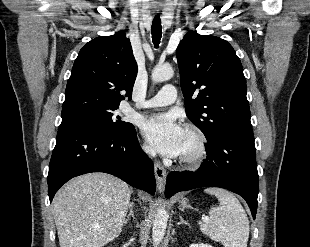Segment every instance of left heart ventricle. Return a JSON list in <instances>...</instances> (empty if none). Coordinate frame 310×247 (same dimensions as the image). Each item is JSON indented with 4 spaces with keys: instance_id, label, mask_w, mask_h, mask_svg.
I'll return each mask as SVG.
<instances>
[{
    "instance_id": "obj_1",
    "label": "left heart ventricle",
    "mask_w": 310,
    "mask_h": 247,
    "mask_svg": "<svg viewBox=\"0 0 310 247\" xmlns=\"http://www.w3.org/2000/svg\"><path fill=\"white\" fill-rule=\"evenodd\" d=\"M195 147L196 141L193 135L184 131L180 154L190 153L195 149Z\"/></svg>"
}]
</instances>
